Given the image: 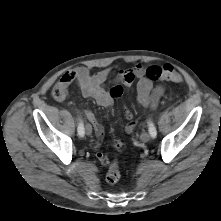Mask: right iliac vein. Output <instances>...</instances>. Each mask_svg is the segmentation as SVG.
I'll use <instances>...</instances> for the list:
<instances>
[{"instance_id": "1", "label": "right iliac vein", "mask_w": 221, "mask_h": 221, "mask_svg": "<svg viewBox=\"0 0 221 221\" xmlns=\"http://www.w3.org/2000/svg\"><path fill=\"white\" fill-rule=\"evenodd\" d=\"M85 131H86L87 135H91L92 134V127H91L90 124H86Z\"/></svg>"}]
</instances>
